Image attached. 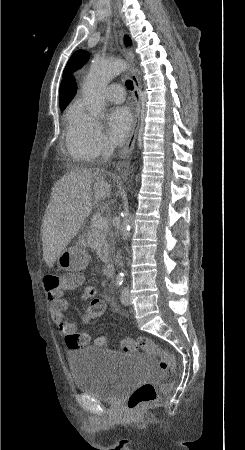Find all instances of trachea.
I'll return each instance as SVG.
<instances>
[{"label": "trachea", "instance_id": "obj_1", "mask_svg": "<svg viewBox=\"0 0 245 450\" xmlns=\"http://www.w3.org/2000/svg\"><path fill=\"white\" fill-rule=\"evenodd\" d=\"M126 85L129 90H133V82L131 80H127Z\"/></svg>", "mask_w": 245, "mask_h": 450}]
</instances>
